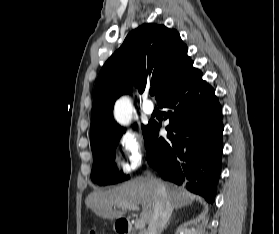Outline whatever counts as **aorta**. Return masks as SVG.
I'll use <instances>...</instances> for the list:
<instances>
[{
    "label": "aorta",
    "mask_w": 279,
    "mask_h": 234,
    "mask_svg": "<svg viewBox=\"0 0 279 234\" xmlns=\"http://www.w3.org/2000/svg\"><path fill=\"white\" fill-rule=\"evenodd\" d=\"M132 107L127 97L117 100L114 107V116L116 121L121 125H127L131 121Z\"/></svg>",
    "instance_id": "aorta-1"
}]
</instances>
